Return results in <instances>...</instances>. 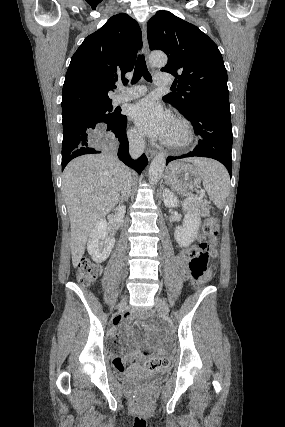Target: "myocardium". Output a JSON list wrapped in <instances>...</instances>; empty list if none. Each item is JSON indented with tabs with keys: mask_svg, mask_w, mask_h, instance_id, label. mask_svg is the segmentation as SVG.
Wrapping results in <instances>:
<instances>
[{
	"mask_svg": "<svg viewBox=\"0 0 285 427\" xmlns=\"http://www.w3.org/2000/svg\"><path fill=\"white\" fill-rule=\"evenodd\" d=\"M174 122H176L177 124H179L181 126L183 136L179 140L167 139V140H165L164 143L166 146L173 148V149L185 148L189 144H191L193 139H194L193 128H192L191 124L189 123V121L182 118V117L175 118Z\"/></svg>",
	"mask_w": 285,
	"mask_h": 427,
	"instance_id": "1",
	"label": "myocardium"
}]
</instances>
